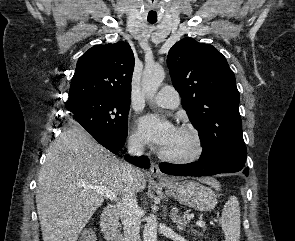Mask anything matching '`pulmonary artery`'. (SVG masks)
I'll return each mask as SVG.
<instances>
[{
    "label": "pulmonary artery",
    "instance_id": "1",
    "mask_svg": "<svg viewBox=\"0 0 295 241\" xmlns=\"http://www.w3.org/2000/svg\"><path fill=\"white\" fill-rule=\"evenodd\" d=\"M153 101L160 107L174 109L180 104V96L176 89L165 86L155 95Z\"/></svg>",
    "mask_w": 295,
    "mask_h": 241
}]
</instances>
